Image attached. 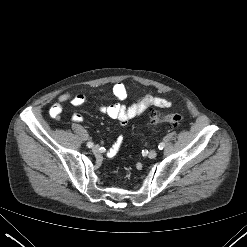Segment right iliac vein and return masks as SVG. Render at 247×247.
I'll use <instances>...</instances> for the list:
<instances>
[{
	"mask_svg": "<svg viewBox=\"0 0 247 247\" xmlns=\"http://www.w3.org/2000/svg\"><path fill=\"white\" fill-rule=\"evenodd\" d=\"M99 150H100V148H99L98 145H95V146H93V148H92V152H93V153H98Z\"/></svg>",
	"mask_w": 247,
	"mask_h": 247,
	"instance_id": "1",
	"label": "right iliac vein"
}]
</instances>
